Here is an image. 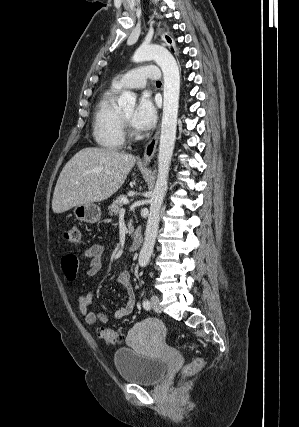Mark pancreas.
I'll return each mask as SVG.
<instances>
[{"instance_id":"pancreas-1","label":"pancreas","mask_w":299,"mask_h":427,"mask_svg":"<svg viewBox=\"0 0 299 427\" xmlns=\"http://www.w3.org/2000/svg\"><path fill=\"white\" fill-rule=\"evenodd\" d=\"M124 197H125V196H118V197H117V198L112 202V204L108 207L109 214H110L111 216H112L113 214H114V215L119 214V212H120V210H121V207L123 206L122 199H123ZM133 231H134V228H133V226H132V220H130V221H129V223H128V232H129V235H132Z\"/></svg>"}]
</instances>
